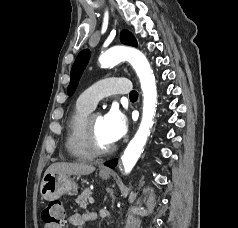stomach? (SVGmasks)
Here are the masks:
<instances>
[{
    "label": "stomach",
    "mask_w": 238,
    "mask_h": 228,
    "mask_svg": "<svg viewBox=\"0 0 238 228\" xmlns=\"http://www.w3.org/2000/svg\"><path fill=\"white\" fill-rule=\"evenodd\" d=\"M100 177L107 180L110 177L109 172H100ZM78 186L67 174L47 173L44 175L41 185L40 194L43 199L52 201L58 199L65 193L76 194Z\"/></svg>",
    "instance_id": "0dacf381"
}]
</instances>
